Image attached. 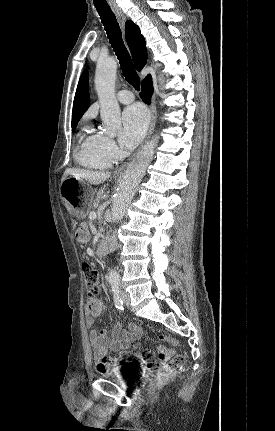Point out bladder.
<instances>
[{"instance_id":"obj_1","label":"bladder","mask_w":275,"mask_h":431,"mask_svg":"<svg viewBox=\"0 0 275 431\" xmlns=\"http://www.w3.org/2000/svg\"><path fill=\"white\" fill-rule=\"evenodd\" d=\"M128 369H133L131 366H117L109 371L102 372L100 375L103 377H112L116 378L119 381H122L123 383H127V371Z\"/></svg>"}]
</instances>
